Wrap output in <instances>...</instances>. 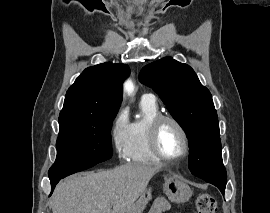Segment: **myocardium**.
<instances>
[{
    "label": "myocardium",
    "mask_w": 270,
    "mask_h": 213,
    "mask_svg": "<svg viewBox=\"0 0 270 213\" xmlns=\"http://www.w3.org/2000/svg\"><path fill=\"white\" fill-rule=\"evenodd\" d=\"M166 122L173 123L178 128V130L180 131L184 139V151L179 157H176V158H171L164 155L159 147V133L162 126ZM148 143H149V148L151 152L159 160L167 162V163H176V162L182 161L186 159L190 153V139H189V135L185 127L178 119L167 114H159L151 121L149 130H148Z\"/></svg>",
    "instance_id": "1"
}]
</instances>
